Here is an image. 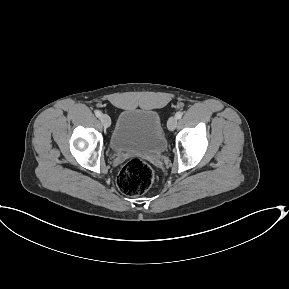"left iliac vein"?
Returning a JSON list of instances; mask_svg holds the SVG:
<instances>
[{"mask_svg":"<svg viewBox=\"0 0 289 289\" xmlns=\"http://www.w3.org/2000/svg\"><path fill=\"white\" fill-rule=\"evenodd\" d=\"M177 123H178V120L176 117H170L169 120H168V123H167V126H168V129L170 131H173L175 130L176 126H177Z\"/></svg>","mask_w":289,"mask_h":289,"instance_id":"1","label":"left iliac vein"}]
</instances>
